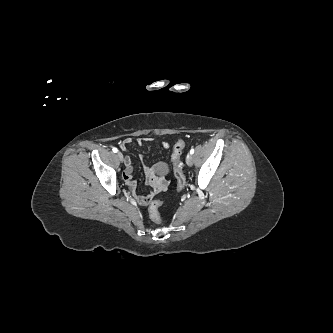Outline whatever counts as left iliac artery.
Returning a JSON list of instances; mask_svg holds the SVG:
<instances>
[{
	"mask_svg": "<svg viewBox=\"0 0 333 333\" xmlns=\"http://www.w3.org/2000/svg\"><path fill=\"white\" fill-rule=\"evenodd\" d=\"M194 153V149L192 148L191 150H190V154H193Z\"/></svg>",
	"mask_w": 333,
	"mask_h": 333,
	"instance_id": "44dca946",
	"label": "left iliac artery"
}]
</instances>
